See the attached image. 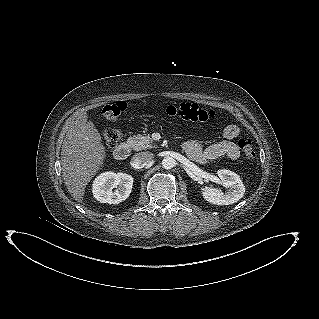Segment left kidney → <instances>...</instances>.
<instances>
[{
    "mask_svg": "<svg viewBox=\"0 0 319 319\" xmlns=\"http://www.w3.org/2000/svg\"><path fill=\"white\" fill-rule=\"evenodd\" d=\"M220 184L227 188L224 193L217 188H202L203 198L215 205H229L239 201L245 193V186L239 175L230 170L217 171Z\"/></svg>",
    "mask_w": 319,
    "mask_h": 319,
    "instance_id": "5707ae66",
    "label": "left kidney"
}]
</instances>
